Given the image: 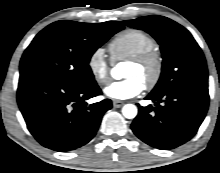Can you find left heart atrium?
Instances as JSON below:
<instances>
[{"label": "left heart atrium", "mask_w": 220, "mask_h": 173, "mask_svg": "<svg viewBox=\"0 0 220 173\" xmlns=\"http://www.w3.org/2000/svg\"><path fill=\"white\" fill-rule=\"evenodd\" d=\"M144 90V83L137 77H129L109 84L105 95L114 100H126L139 95Z\"/></svg>", "instance_id": "left-heart-atrium-1"}]
</instances>
